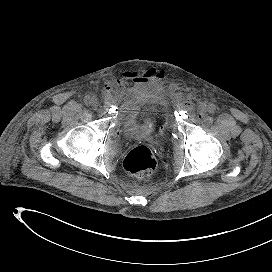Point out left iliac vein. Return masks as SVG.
Listing matches in <instances>:
<instances>
[{
	"label": "left iliac vein",
	"instance_id": "obj_1",
	"mask_svg": "<svg viewBox=\"0 0 272 272\" xmlns=\"http://www.w3.org/2000/svg\"><path fill=\"white\" fill-rule=\"evenodd\" d=\"M207 111H208V108H207V106L205 104L199 105V107L197 109V113L200 116L205 115Z\"/></svg>",
	"mask_w": 272,
	"mask_h": 272
}]
</instances>
